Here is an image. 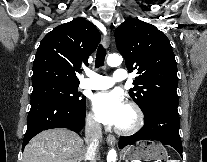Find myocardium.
<instances>
[{
  "mask_svg": "<svg viewBox=\"0 0 207 162\" xmlns=\"http://www.w3.org/2000/svg\"><path fill=\"white\" fill-rule=\"evenodd\" d=\"M126 105L132 110L134 114V121L132 125L126 128H121L118 126L115 127L116 133L119 135H124V136L132 135L138 132L143 127L144 120H145L144 114L136 102L128 101Z\"/></svg>",
  "mask_w": 207,
  "mask_h": 162,
  "instance_id": "1",
  "label": "myocardium"
}]
</instances>
